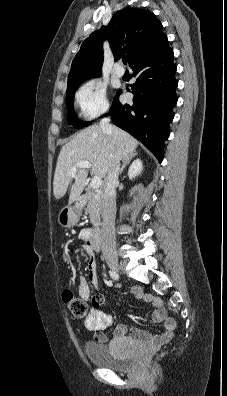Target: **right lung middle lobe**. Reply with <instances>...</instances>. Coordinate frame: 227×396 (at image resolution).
<instances>
[{
    "label": "right lung middle lobe",
    "mask_w": 227,
    "mask_h": 396,
    "mask_svg": "<svg viewBox=\"0 0 227 396\" xmlns=\"http://www.w3.org/2000/svg\"><path fill=\"white\" fill-rule=\"evenodd\" d=\"M81 83L82 82L76 84L71 89L67 90V99H66L67 120H68V123L73 125L74 128H81L83 126H88L89 124H91V122H83V121L79 120L75 114L74 107H73L74 95H75V92H76L79 84H81Z\"/></svg>",
    "instance_id": "1"
}]
</instances>
